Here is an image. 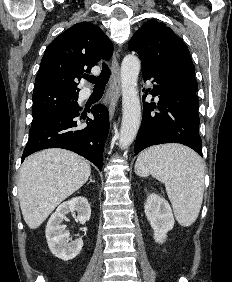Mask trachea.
I'll return each instance as SVG.
<instances>
[{
	"mask_svg": "<svg viewBox=\"0 0 232 282\" xmlns=\"http://www.w3.org/2000/svg\"><path fill=\"white\" fill-rule=\"evenodd\" d=\"M110 77V69L109 67L104 63L102 66V72L99 76H91L86 75L84 78L94 84V91L95 92H103L106 86V83L108 82Z\"/></svg>",
	"mask_w": 232,
	"mask_h": 282,
	"instance_id": "3493384b",
	"label": "trachea"
}]
</instances>
